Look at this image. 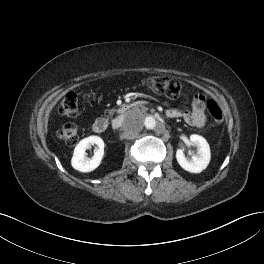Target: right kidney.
Listing matches in <instances>:
<instances>
[{
  "label": "right kidney",
  "mask_w": 264,
  "mask_h": 264,
  "mask_svg": "<svg viewBox=\"0 0 264 264\" xmlns=\"http://www.w3.org/2000/svg\"><path fill=\"white\" fill-rule=\"evenodd\" d=\"M91 145H97L94 156L89 159L85 151ZM104 155V141L99 136H89L81 140L75 147L71 160L72 167L80 172H91L96 169Z\"/></svg>",
  "instance_id": "obj_1"
}]
</instances>
